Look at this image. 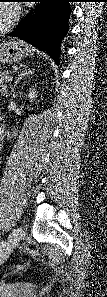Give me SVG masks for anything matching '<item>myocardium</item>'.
<instances>
[{
  "label": "myocardium",
  "mask_w": 107,
  "mask_h": 297,
  "mask_svg": "<svg viewBox=\"0 0 107 297\" xmlns=\"http://www.w3.org/2000/svg\"><path fill=\"white\" fill-rule=\"evenodd\" d=\"M10 8L12 9V16L10 18V20L3 26L0 27V34H4L7 31H9V29L14 25V23L16 22L17 18H18V9L16 6L11 5Z\"/></svg>",
  "instance_id": "obj_1"
}]
</instances>
